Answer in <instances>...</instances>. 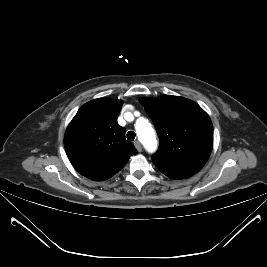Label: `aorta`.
<instances>
[{
	"label": "aorta",
	"instance_id": "1",
	"mask_svg": "<svg viewBox=\"0 0 267 267\" xmlns=\"http://www.w3.org/2000/svg\"><path fill=\"white\" fill-rule=\"evenodd\" d=\"M135 128L138 138L144 147L149 151L155 150L157 146L156 134L149 121L145 118H139Z\"/></svg>",
	"mask_w": 267,
	"mask_h": 267
}]
</instances>
